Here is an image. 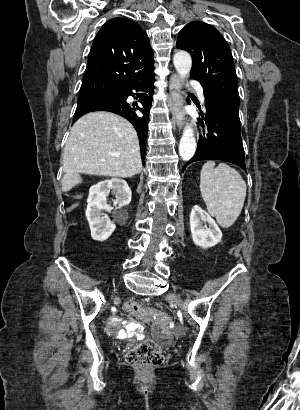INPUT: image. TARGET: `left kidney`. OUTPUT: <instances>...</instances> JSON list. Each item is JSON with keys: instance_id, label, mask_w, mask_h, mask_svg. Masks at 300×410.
Segmentation results:
<instances>
[{"instance_id": "obj_1", "label": "left kidney", "mask_w": 300, "mask_h": 410, "mask_svg": "<svg viewBox=\"0 0 300 410\" xmlns=\"http://www.w3.org/2000/svg\"><path fill=\"white\" fill-rule=\"evenodd\" d=\"M190 229L195 245L204 249L213 247L221 241L222 232L215 220L197 205L191 210Z\"/></svg>"}]
</instances>
